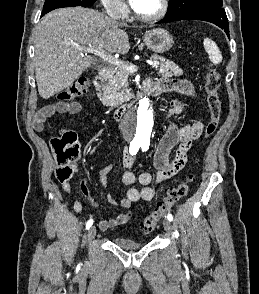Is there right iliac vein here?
Masks as SVG:
<instances>
[{
  "mask_svg": "<svg viewBox=\"0 0 259 294\" xmlns=\"http://www.w3.org/2000/svg\"><path fill=\"white\" fill-rule=\"evenodd\" d=\"M96 235V228L94 226H92L89 230H88V233H87V239L88 241H92L94 239Z\"/></svg>",
  "mask_w": 259,
  "mask_h": 294,
  "instance_id": "63e3f726",
  "label": "right iliac vein"
}]
</instances>
